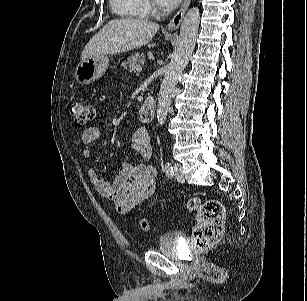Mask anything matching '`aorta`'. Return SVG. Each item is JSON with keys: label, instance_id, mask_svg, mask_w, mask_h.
Wrapping results in <instances>:
<instances>
[{"label": "aorta", "instance_id": "762f6f07", "mask_svg": "<svg viewBox=\"0 0 307 301\" xmlns=\"http://www.w3.org/2000/svg\"><path fill=\"white\" fill-rule=\"evenodd\" d=\"M199 23V8L193 7L186 13L182 21L177 47L170 63L166 67L161 84L157 104V121L160 126H163L166 121L173 91L178 83L179 76L187 66L189 58L193 53Z\"/></svg>", "mask_w": 307, "mask_h": 301}]
</instances>
